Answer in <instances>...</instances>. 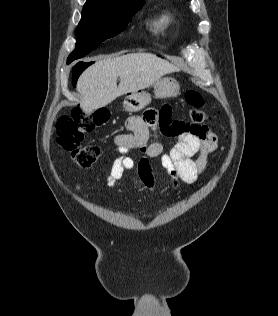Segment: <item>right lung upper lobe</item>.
<instances>
[{"mask_svg":"<svg viewBox=\"0 0 278 316\" xmlns=\"http://www.w3.org/2000/svg\"><path fill=\"white\" fill-rule=\"evenodd\" d=\"M144 0H87L85 5H120V4H134L136 2H143Z\"/></svg>","mask_w":278,"mask_h":316,"instance_id":"1","label":"right lung upper lobe"}]
</instances>
